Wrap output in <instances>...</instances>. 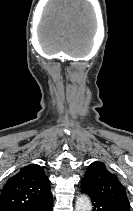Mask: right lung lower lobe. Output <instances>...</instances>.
<instances>
[{"label": "right lung lower lobe", "mask_w": 133, "mask_h": 211, "mask_svg": "<svg viewBox=\"0 0 133 211\" xmlns=\"http://www.w3.org/2000/svg\"><path fill=\"white\" fill-rule=\"evenodd\" d=\"M53 197L44 202L31 207L28 211H52Z\"/></svg>", "instance_id": "right-lung-lower-lobe-1"}]
</instances>
